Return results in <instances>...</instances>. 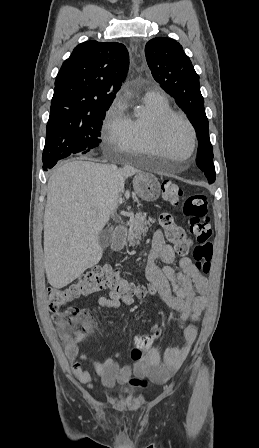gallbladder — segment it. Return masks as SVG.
Segmentation results:
<instances>
[{"label":"gallbladder","instance_id":"obj_1","mask_svg":"<svg viewBox=\"0 0 259 448\" xmlns=\"http://www.w3.org/2000/svg\"><path fill=\"white\" fill-rule=\"evenodd\" d=\"M113 228H109V230H103L98 238V244L101 248H108L111 246L113 242Z\"/></svg>","mask_w":259,"mask_h":448}]
</instances>
